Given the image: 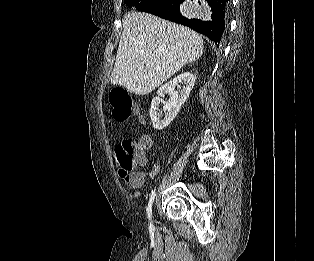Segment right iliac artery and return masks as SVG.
<instances>
[{"label":"right iliac artery","instance_id":"obj_1","mask_svg":"<svg viewBox=\"0 0 314 261\" xmlns=\"http://www.w3.org/2000/svg\"><path fill=\"white\" fill-rule=\"evenodd\" d=\"M154 198H155V190L152 191L151 195H150V199L148 202V206L146 208V213H147V218L149 220V227L152 228L153 224H152V205L154 202Z\"/></svg>","mask_w":314,"mask_h":261}]
</instances>
